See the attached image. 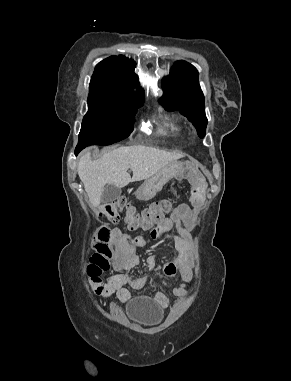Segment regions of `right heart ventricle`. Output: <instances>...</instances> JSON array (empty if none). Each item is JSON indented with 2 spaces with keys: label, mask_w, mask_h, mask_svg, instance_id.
<instances>
[{
  "label": "right heart ventricle",
  "mask_w": 291,
  "mask_h": 381,
  "mask_svg": "<svg viewBox=\"0 0 291 381\" xmlns=\"http://www.w3.org/2000/svg\"><path fill=\"white\" fill-rule=\"evenodd\" d=\"M163 129L165 134L176 136L182 133L183 126L179 120L173 116H166L163 118Z\"/></svg>",
  "instance_id": "right-heart-ventricle-1"
}]
</instances>
